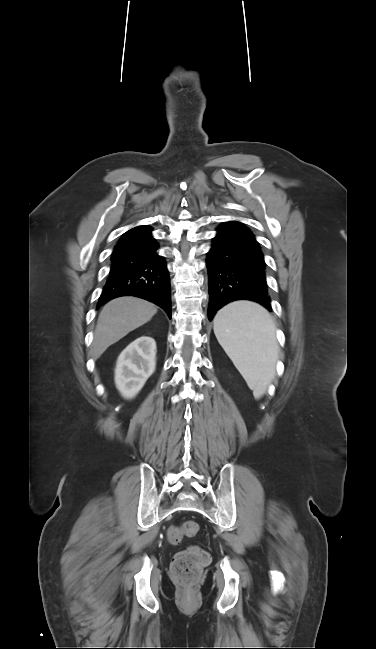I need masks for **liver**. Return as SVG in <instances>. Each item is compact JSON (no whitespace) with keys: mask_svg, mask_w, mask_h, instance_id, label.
<instances>
[{"mask_svg":"<svg viewBox=\"0 0 376 649\" xmlns=\"http://www.w3.org/2000/svg\"><path fill=\"white\" fill-rule=\"evenodd\" d=\"M156 312L154 304L137 297H118L108 302L99 314L94 332V359H98L109 346L129 332L148 322Z\"/></svg>","mask_w":376,"mask_h":649,"instance_id":"1","label":"liver"}]
</instances>
